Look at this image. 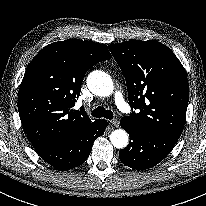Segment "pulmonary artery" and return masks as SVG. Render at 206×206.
Masks as SVG:
<instances>
[{
	"mask_svg": "<svg viewBox=\"0 0 206 206\" xmlns=\"http://www.w3.org/2000/svg\"><path fill=\"white\" fill-rule=\"evenodd\" d=\"M114 101L115 104L117 105V107L124 113L129 112V106L128 104L125 102L124 97L122 95L121 92L116 91L114 93Z\"/></svg>",
	"mask_w": 206,
	"mask_h": 206,
	"instance_id": "pulmonary-artery-1",
	"label": "pulmonary artery"
}]
</instances>
